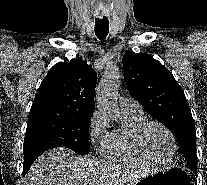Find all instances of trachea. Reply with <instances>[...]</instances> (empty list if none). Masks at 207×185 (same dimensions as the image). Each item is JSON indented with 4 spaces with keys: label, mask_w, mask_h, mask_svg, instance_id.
<instances>
[{
    "label": "trachea",
    "mask_w": 207,
    "mask_h": 185,
    "mask_svg": "<svg viewBox=\"0 0 207 185\" xmlns=\"http://www.w3.org/2000/svg\"><path fill=\"white\" fill-rule=\"evenodd\" d=\"M109 32V20H95V33L100 40H104Z\"/></svg>",
    "instance_id": "trachea-1"
}]
</instances>
